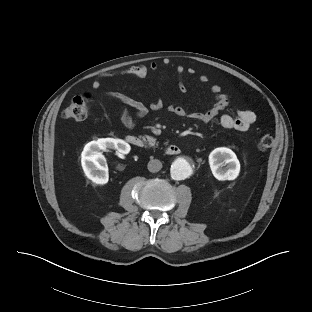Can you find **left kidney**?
<instances>
[{"mask_svg":"<svg viewBox=\"0 0 312 312\" xmlns=\"http://www.w3.org/2000/svg\"><path fill=\"white\" fill-rule=\"evenodd\" d=\"M209 164L214 177L219 181L234 180L240 172L236 154L226 147L214 149L209 155Z\"/></svg>","mask_w":312,"mask_h":312,"instance_id":"left-kidney-1","label":"left kidney"}]
</instances>
